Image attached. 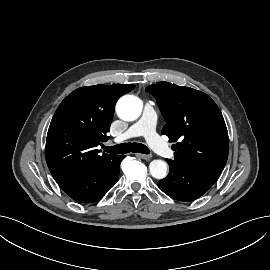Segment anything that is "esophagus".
Returning <instances> with one entry per match:
<instances>
[{
	"mask_svg": "<svg viewBox=\"0 0 270 270\" xmlns=\"http://www.w3.org/2000/svg\"><path fill=\"white\" fill-rule=\"evenodd\" d=\"M136 156L144 160H150L152 158L151 155L141 154V153H137Z\"/></svg>",
	"mask_w": 270,
	"mask_h": 270,
	"instance_id": "obj_1",
	"label": "esophagus"
}]
</instances>
